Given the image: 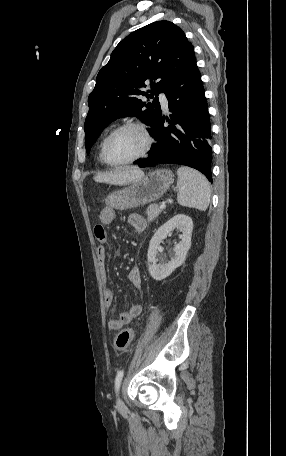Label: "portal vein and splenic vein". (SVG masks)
Segmentation results:
<instances>
[{
	"mask_svg": "<svg viewBox=\"0 0 286 456\" xmlns=\"http://www.w3.org/2000/svg\"><path fill=\"white\" fill-rule=\"evenodd\" d=\"M165 206H166V204H165L164 202H162V203L160 204L159 207H160L161 209H163V208H165Z\"/></svg>",
	"mask_w": 286,
	"mask_h": 456,
	"instance_id": "1",
	"label": "portal vein and splenic vein"
}]
</instances>
